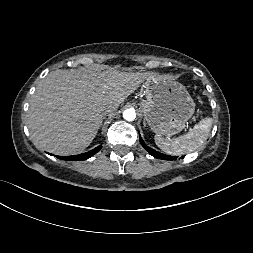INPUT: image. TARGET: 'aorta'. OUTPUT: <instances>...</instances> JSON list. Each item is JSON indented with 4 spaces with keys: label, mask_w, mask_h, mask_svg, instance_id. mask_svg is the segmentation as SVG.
I'll return each instance as SVG.
<instances>
[{
    "label": "aorta",
    "mask_w": 253,
    "mask_h": 253,
    "mask_svg": "<svg viewBox=\"0 0 253 253\" xmlns=\"http://www.w3.org/2000/svg\"><path fill=\"white\" fill-rule=\"evenodd\" d=\"M123 117L127 121H133L136 117L135 111L133 109H126L123 112Z\"/></svg>",
    "instance_id": "762f6f07"
}]
</instances>
